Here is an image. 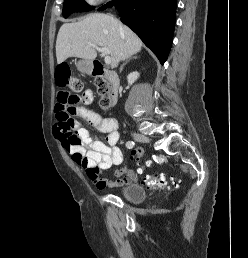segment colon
<instances>
[{"label": "colon", "instance_id": "1", "mask_svg": "<svg viewBox=\"0 0 248 258\" xmlns=\"http://www.w3.org/2000/svg\"><path fill=\"white\" fill-rule=\"evenodd\" d=\"M57 82L60 86H69V92H64L56 103V116L57 124L60 125L62 133H64L68 139L72 142H77L78 137L73 127V108L78 103V93L83 88L82 82L77 78H71L69 76V69L65 65L59 66V73L57 76ZM95 85L97 87L98 94L100 96V106L103 109H107L110 104V92L111 85L104 77H98L95 79ZM143 145L137 144L131 160H140L143 156ZM137 171H146V163H137ZM87 174L97 176L96 167L86 169ZM143 184L151 189H162L168 186L169 181L158 173L152 175H145L143 177Z\"/></svg>", "mask_w": 248, "mask_h": 258}]
</instances>
